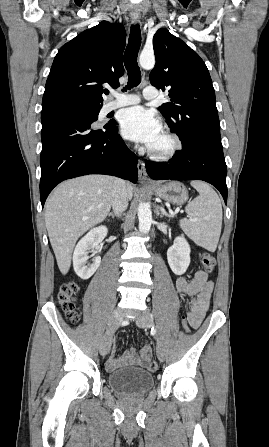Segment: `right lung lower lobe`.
<instances>
[{"instance_id":"right-lung-lower-lobe-1","label":"right lung lower lobe","mask_w":269,"mask_h":447,"mask_svg":"<svg viewBox=\"0 0 269 447\" xmlns=\"http://www.w3.org/2000/svg\"><path fill=\"white\" fill-rule=\"evenodd\" d=\"M40 199L42 208L60 182L86 175H114L137 182V157L117 135L116 122L103 130L91 128L94 120L72 107L45 109L41 114Z\"/></svg>"}]
</instances>
